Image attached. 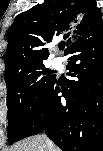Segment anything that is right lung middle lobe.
<instances>
[{
  "mask_svg": "<svg viewBox=\"0 0 103 151\" xmlns=\"http://www.w3.org/2000/svg\"><path fill=\"white\" fill-rule=\"evenodd\" d=\"M55 78L54 71L46 68L44 63H38L6 81L10 145L20 140Z\"/></svg>",
  "mask_w": 103,
  "mask_h": 151,
  "instance_id": "1",
  "label": "right lung middle lobe"
}]
</instances>
